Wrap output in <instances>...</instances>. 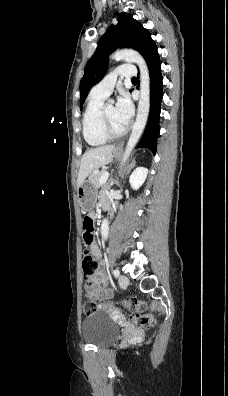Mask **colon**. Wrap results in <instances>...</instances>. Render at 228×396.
Returning a JSON list of instances; mask_svg holds the SVG:
<instances>
[{
  "mask_svg": "<svg viewBox=\"0 0 228 396\" xmlns=\"http://www.w3.org/2000/svg\"><path fill=\"white\" fill-rule=\"evenodd\" d=\"M83 231V279L86 284L90 286L93 284L98 268V261L90 250V246L94 242V222L90 216H86L83 220ZM123 305L131 311V320L136 326L141 328H150L156 324L155 317L146 312L147 305L144 301H125ZM99 308L100 306L93 299H87L83 304V310L88 315L96 312Z\"/></svg>",
  "mask_w": 228,
  "mask_h": 396,
  "instance_id": "1",
  "label": "colon"
}]
</instances>
